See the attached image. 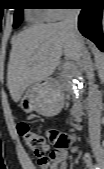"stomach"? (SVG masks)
Returning a JSON list of instances; mask_svg holds the SVG:
<instances>
[{"mask_svg": "<svg viewBox=\"0 0 104 169\" xmlns=\"http://www.w3.org/2000/svg\"><path fill=\"white\" fill-rule=\"evenodd\" d=\"M63 105L64 98L61 88L49 80L30 85L19 101V107L25 113L35 111L43 116L58 114Z\"/></svg>", "mask_w": 104, "mask_h": 169, "instance_id": "0dacf381", "label": "stomach"}]
</instances>
